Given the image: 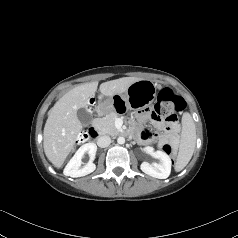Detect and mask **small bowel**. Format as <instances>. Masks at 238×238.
Instances as JSON below:
<instances>
[{
    "label": "small bowel",
    "instance_id": "1",
    "mask_svg": "<svg viewBox=\"0 0 238 238\" xmlns=\"http://www.w3.org/2000/svg\"><path fill=\"white\" fill-rule=\"evenodd\" d=\"M139 121H145L150 119L153 125L160 130L165 129V133L162 135H157L149 129H141L139 130L135 124L132 122V130L134 133L138 135V139L140 142L149 144L153 141H157L160 146H162L165 142H170L173 145L177 144L178 142V131L177 127L166 128L165 123L163 122V117L157 110H151L148 114L145 112H140L138 114Z\"/></svg>",
    "mask_w": 238,
    "mask_h": 238
}]
</instances>
